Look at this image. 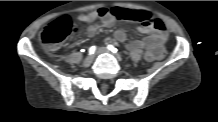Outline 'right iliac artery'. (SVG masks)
Segmentation results:
<instances>
[{"label": "right iliac artery", "mask_w": 218, "mask_h": 122, "mask_svg": "<svg viewBox=\"0 0 218 122\" xmlns=\"http://www.w3.org/2000/svg\"><path fill=\"white\" fill-rule=\"evenodd\" d=\"M95 51H96V47H95V46H91V47L89 48V54H90V55L94 54Z\"/></svg>", "instance_id": "obj_1"}]
</instances>
